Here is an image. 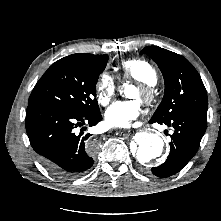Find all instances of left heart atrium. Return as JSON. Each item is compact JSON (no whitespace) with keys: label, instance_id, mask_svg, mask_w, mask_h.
<instances>
[{"label":"left heart atrium","instance_id":"obj_1","mask_svg":"<svg viewBox=\"0 0 221 221\" xmlns=\"http://www.w3.org/2000/svg\"><path fill=\"white\" fill-rule=\"evenodd\" d=\"M140 114L137 100H120L114 102L105 112V122L110 127L127 128Z\"/></svg>","mask_w":221,"mask_h":221}]
</instances>
